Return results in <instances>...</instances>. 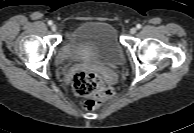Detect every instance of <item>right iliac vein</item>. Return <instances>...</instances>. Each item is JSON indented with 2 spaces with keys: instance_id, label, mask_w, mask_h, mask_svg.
Here are the masks:
<instances>
[{
  "instance_id": "63e3f726",
  "label": "right iliac vein",
  "mask_w": 194,
  "mask_h": 133,
  "mask_svg": "<svg viewBox=\"0 0 194 133\" xmlns=\"http://www.w3.org/2000/svg\"><path fill=\"white\" fill-rule=\"evenodd\" d=\"M51 29H52V31L55 32V31L57 30V26H56V25H52V26H51Z\"/></svg>"
}]
</instances>
